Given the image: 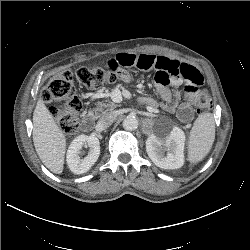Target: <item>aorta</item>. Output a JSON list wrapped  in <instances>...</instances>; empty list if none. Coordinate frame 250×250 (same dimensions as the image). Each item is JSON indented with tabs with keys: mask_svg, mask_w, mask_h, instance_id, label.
Returning a JSON list of instances; mask_svg holds the SVG:
<instances>
[{
	"mask_svg": "<svg viewBox=\"0 0 250 250\" xmlns=\"http://www.w3.org/2000/svg\"><path fill=\"white\" fill-rule=\"evenodd\" d=\"M122 124L125 130L132 131L137 129L138 119L135 116H127Z\"/></svg>",
	"mask_w": 250,
	"mask_h": 250,
	"instance_id": "obj_1",
	"label": "aorta"
}]
</instances>
